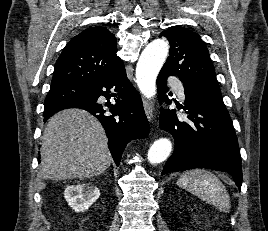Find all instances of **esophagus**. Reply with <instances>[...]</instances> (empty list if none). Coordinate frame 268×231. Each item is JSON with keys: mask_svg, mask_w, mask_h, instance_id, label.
Returning <instances> with one entry per match:
<instances>
[{"mask_svg": "<svg viewBox=\"0 0 268 231\" xmlns=\"http://www.w3.org/2000/svg\"><path fill=\"white\" fill-rule=\"evenodd\" d=\"M142 101H143V107H144L147 119L149 120V122H151L153 120V117H154L153 103L145 98H143Z\"/></svg>", "mask_w": 268, "mask_h": 231, "instance_id": "34e87169", "label": "esophagus"}]
</instances>
